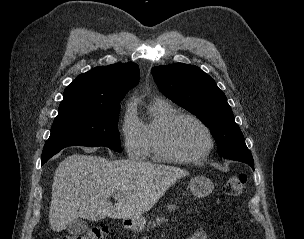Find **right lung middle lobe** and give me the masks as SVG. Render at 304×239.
<instances>
[{
  "label": "right lung middle lobe",
  "mask_w": 304,
  "mask_h": 239,
  "mask_svg": "<svg viewBox=\"0 0 304 239\" xmlns=\"http://www.w3.org/2000/svg\"><path fill=\"white\" fill-rule=\"evenodd\" d=\"M120 106L59 112L44 150L68 146H106L121 152L117 122Z\"/></svg>",
  "instance_id": "right-lung-middle-lobe-1"
}]
</instances>
